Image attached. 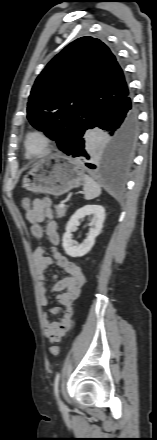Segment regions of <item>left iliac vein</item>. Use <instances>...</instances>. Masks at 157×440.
<instances>
[{
    "instance_id": "obj_1",
    "label": "left iliac vein",
    "mask_w": 157,
    "mask_h": 440,
    "mask_svg": "<svg viewBox=\"0 0 157 440\" xmlns=\"http://www.w3.org/2000/svg\"><path fill=\"white\" fill-rule=\"evenodd\" d=\"M60 404H61V406H63V403H62V402H61Z\"/></svg>"
}]
</instances>
